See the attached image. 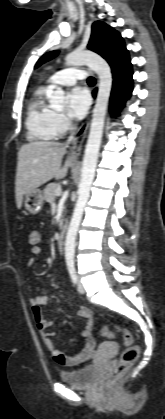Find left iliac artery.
Returning a JSON list of instances; mask_svg holds the SVG:
<instances>
[{
    "mask_svg": "<svg viewBox=\"0 0 165 419\" xmlns=\"http://www.w3.org/2000/svg\"><path fill=\"white\" fill-rule=\"evenodd\" d=\"M68 270H69V273H70V276H71L72 281L74 283H77V274H76L74 265L73 264H70L68 266Z\"/></svg>",
    "mask_w": 165,
    "mask_h": 419,
    "instance_id": "1",
    "label": "left iliac artery"
}]
</instances>
